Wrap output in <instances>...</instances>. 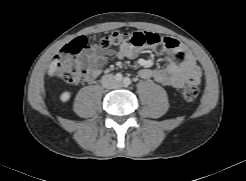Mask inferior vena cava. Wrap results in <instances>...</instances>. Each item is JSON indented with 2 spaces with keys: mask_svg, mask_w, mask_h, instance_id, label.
I'll list each match as a JSON object with an SVG mask.
<instances>
[{
  "mask_svg": "<svg viewBox=\"0 0 246 181\" xmlns=\"http://www.w3.org/2000/svg\"><path fill=\"white\" fill-rule=\"evenodd\" d=\"M101 83L103 87L108 89H113L118 86V82L112 74L103 75L101 78Z\"/></svg>",
  "mask_w": 246,
  "mask_h": 181,
  "instance_id": "inferior-vena-cava-1",
  "label": "inferior vena cava"
}]
</instances>
